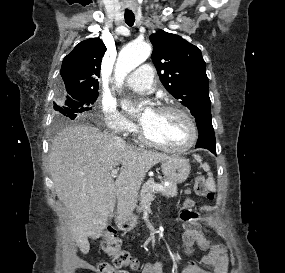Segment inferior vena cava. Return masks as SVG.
Returning <instances> with one entry per match:
<instances>
[{
    "label": "inferior vena cava",
    "mask_w": 285,
    "mask_h": 273,
    "mask_svg": "<svg viewBox=\"0 0 285 273\" xmlns=\"http://www.w3.org/2000/svg\"><path fill=\"white\" fill-rule=\"evenodd\" d=\"M115 133H116V132H115ZM115 133H112V134H111V137H112L113 139L117 140V141H122V139H121L120 137L116 136Z\"/></svg>",
    "instance_id": "1"
}]
</instances>
